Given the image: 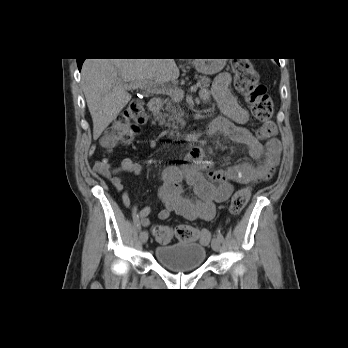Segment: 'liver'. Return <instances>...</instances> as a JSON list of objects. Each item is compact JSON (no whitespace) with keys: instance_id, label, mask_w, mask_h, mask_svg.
Here are the masks:
<instances>
[{"instance_id":"1","label":"liver","mask_w":348,"mask_h":348,"mask_svg":"<svg viewBox=\"0 0 348 348\" xmlns=\"http://www.w3.org/2000/svg\"><path fill=\"white\" fill-rule=\"evenodd\" d=\"M180 75L174 59H86L81 82L97 140L128 104L126 83L148 80L166 84Z\"/></svg>"}]
</instances>
